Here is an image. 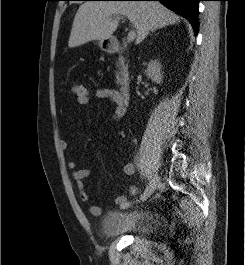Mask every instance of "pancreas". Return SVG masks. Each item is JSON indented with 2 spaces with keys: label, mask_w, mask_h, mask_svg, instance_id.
<instances>
[{
  "label": "pancreas",
  "mask_w": 245,
  "mask_h": 265,
  "mask_svg": "<svg viewBox=\"0 0 245 265\" xmlns=\"http://www.w3.org/2000/svg\"><path fill=\"white\" fill-rule=\"evenodd\" d=\"M118 71L116 72V83L119 85L121 83V76L122 74H127V66L118 65Z\"/></svg>",
  "instance_id": "obj_1"
}]
</instances>
